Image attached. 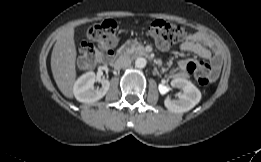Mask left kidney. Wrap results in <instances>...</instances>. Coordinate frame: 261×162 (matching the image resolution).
I'll return each mask as SVG.
<instances>
[{
  "label": "left kidney",
  "mask_w": 261,
  "mask_h": 162,
  "mask_svg": "<svg viewBox=\"0 0 261 162\" xmlns=\"http://www.w3.org/2000/svg\"><path fill=\"white\" fill-rule=\"evenodd\" d=\"M171 86L181 89L183 93L178 94V99H171L169 96L165 99L164 105L170 112H187L200 102V90L187 79L175 78L171 81Z\"/></svg>",
  "instance_id": "left-kidney-1"
}]
</instances>
